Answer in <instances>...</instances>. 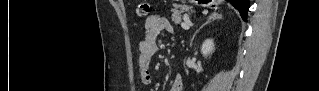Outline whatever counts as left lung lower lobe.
Segmentation results:
<instances>
[{"label":"left lung lower lobe","mask_w":319,"mask_h":91,"mask_svg":"<svg viewBox=\"0 0 319 91\" xmlns=\"http://www.w3.org/2000/svg\"><path fill=\"white\" fill-rule=\"evenodd\" d=\"M239 11L241 17L246 20L247 10L249 8V0H227Z\"/></svg>","instance_id":"obj_1"}]
</instances>
